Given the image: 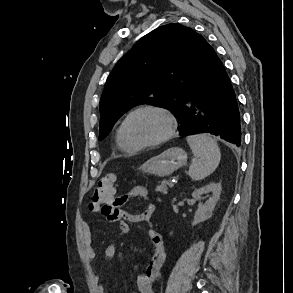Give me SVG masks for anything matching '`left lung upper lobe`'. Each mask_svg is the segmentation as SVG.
I'll return each instance as SVG.
<instances>
[{"label":"left lung upper lobe","mask_w":293,"mask_h":293,"mask_svg":"<svg viewBox=\"0 0 293 293\" xmlns=\"http://www.w3.org/2000/svg\"><path fill=\"white\" fill-rule=\"evenodd\" d=\"M213 51L203 36L176 23L142 37L107 78L100 100L99 140L137 105L166 107L179 116L182 100L204 79Z\"/></svg>","instance_id":"5c2ea615"}]
</instances>
